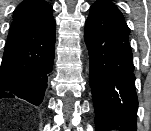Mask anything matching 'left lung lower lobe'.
<instances>
[{"label":"left lung lower lobe","instance_id":"0a47b994","mask_svg":"<svg viewBox=\"0 0 151 131\" xmlns=\"http://www.w3.org/2000/svg\"><path fill=\"white\" fill-rule=\"evenodd\" d=\"M129 33L112 2L91 6L84 39L90 54L96 131H136L138 100Z\"/></svg>","mask_w":151,"mask_h":131}]
</instances>
